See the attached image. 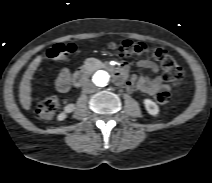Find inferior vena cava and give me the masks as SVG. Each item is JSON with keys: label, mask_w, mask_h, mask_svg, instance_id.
Wrapping results in <instances>:
<instances>
[{"label": "inferior vena cava", "mask_w": 212, "mask_h": 183, "mask_svg": "<svg viewBox=\"0 0 212 183\" xmlns=\"http://www.w3.org/2000/svg\"><path fill=\"white\" fill-rule=\"evenodd\" d=\"M95 90H96V87L91 82H87L83 86V91L85 93H93Z\"/></svg>", "instance_id": "602c4592"}]
</instances>
